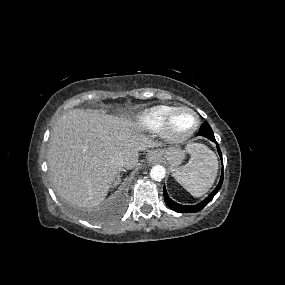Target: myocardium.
Returning <instances> with one entry per match:
<instances>
[{"instance_id":"myocardium-1","label":"myocardium","mask_w":285,"mask_h":285,"mask_svg":"<svg viewBox=\"0 0 285 285\" xmlns=\"http://www.w3.org/2000/svg\"><path fill=\"white\" fill-rule=\"evenodd\" d=\"M183 113H188L192 115L194 118V123L188 130L181 132L175 129L174 121L177 118V116ZM199 126H200V118L194 110L188 107H178L174 108L166 118L162 127V132L167 140L179 143L193 136L195 132L198 130Z\"/></svg>"}]
</instances>
